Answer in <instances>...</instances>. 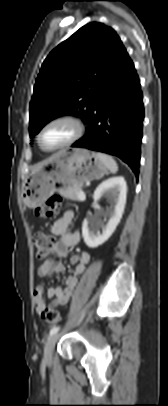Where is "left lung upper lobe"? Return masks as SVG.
<instances>
[{"mask_svg":"<svg viewBox=\"0 0 168 406\" xmlns=\"http://www.w3.org/2000/svg\"><path fill=\"white\" fill-rule=\"evenodd\" d=\"M125 50L119 36L92 22L50 52L42 64L30 103V136L52 119L72 114L87 124L104 82Z\"/></svg>","mask_w":168,"mask_h":406,"instance_id":"obj_1","label":"left lung upper lobe"}]
</instances>
